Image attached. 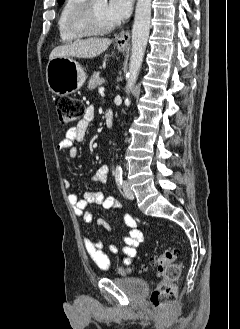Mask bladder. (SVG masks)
<instances>
[{
  "label": "bladder",
  "instance_id": "obj_1",
  "mask_svg": "<svg viewBox=\"0 0 240 329\" xmlns=\"http://www.w3.org/2000/svg\"><path fill=\"white\" fill-rule=\"evenodd\" d=\"M113 281L116 285L135 296L144 295L149 288L148 283L140 277H114Z\"/></svg>",
  "mask_w": 240,
  "mask_h": 329
}]
</instances>
